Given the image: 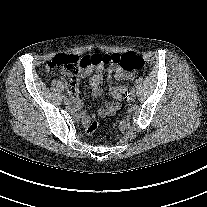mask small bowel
<instances>
[{
    "instance_id": "1",
    "label": "small bowel",
    "mask_w": 207,
    "mask_h": 207,
    "mask_svg": "<svg viewBox=\"0 0 207 207\" xmlns=\"http://www.w3.org/2000/svg\"><path fill=\"white\" fill-rule=\"evenodd\" d=\"M103 65H98L94 67L85 68L81 72V76L86 78L90 77L89 83L91 87V92L94 97H100L102 90V82H103ZM108 75L109 77H114V79L118 81H127L130 82L134 79V74L128 73L121 69L119 66H112L108 68ZM126 91L125 85H113L110 88V96L113 99L112 102L107 103L105 106L101 107L97 111V116L100 118L108 117L113 115L120 106V101L123 97V94ZM73 95L71 97V101L73 106L76 109H80L81 101L77 97L76 92L77 89L73 91ZM80 119L84 126L89 125L93 120H95V116L88 115V114H81Z\"/></svg>"
}]
</instances>
